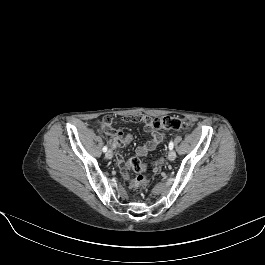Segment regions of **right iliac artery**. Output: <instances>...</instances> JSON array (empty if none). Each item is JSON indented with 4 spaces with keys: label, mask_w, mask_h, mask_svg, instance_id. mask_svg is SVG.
Segmentation results:
<instances>
[{
    "label": "right iliac artery",
    "mask_w": 265,
    "mask_h": 265,
    "mask_svg": "<svg viewBox=\"0 0 265 265\" xmlns=\"http://www.w3.org/2000/svg\"><path fill=\"white\" fill-rule=\"evenodd\" d=\"M107 149H108L107 146H104V147H103V152H106Z\"/></svg>",
    "instance_id": "82829eb1"
}]
</instances>
